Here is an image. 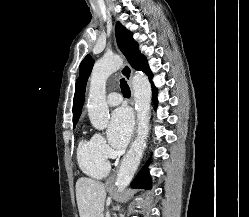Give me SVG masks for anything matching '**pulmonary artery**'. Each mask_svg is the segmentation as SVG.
Returning a JSON list of instances; mask_svg holds the SVG:
<instances>
[{"label":"pulmonary artery","mask_w":249,"mask_h":217,"mask_svg":"<svg viewBox=\"0 0 249 217\" xmlns=\"http://www.w3.org/2000/svg\"><path fill=\"white\" fill-rule=\"evenodd\" d=\"M122 100V97L119 93L117 92H112L108 95L107 97V102L111 106H116L118 105Z\"/></svg>","instance_id":"1"}]
</instances>
